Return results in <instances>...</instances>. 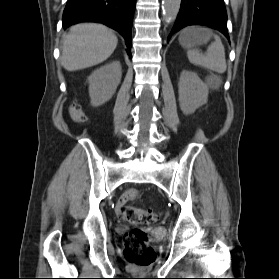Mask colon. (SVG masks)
Returning <instances> with one entry per match:
<instances>
[{
    "instance_id": "5ec220e1",
    "label": "colon",
    "mask_w": 279,
    "mask_h": 279,
    "mask_svg": "<svg viewBox=\"0 0 279 279\" xmlns=\"http://www.w3.org/2000/svg\"><path fill=\"white\" fill-rule=\"evenodd\" d=\"M71 118L76 123H86L88 117L81 106L73 102L69 107ZM121 218L132 225L151 224L157 220V214L150 209H142L132 205H123L119 211ZM150 234L139 228L127 231L123 238V254L127 261L137 266H147L154 262L155 251L150 245Z\"/></svg>"
}]
</instances>
